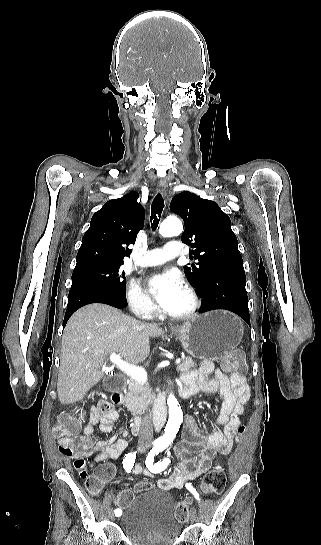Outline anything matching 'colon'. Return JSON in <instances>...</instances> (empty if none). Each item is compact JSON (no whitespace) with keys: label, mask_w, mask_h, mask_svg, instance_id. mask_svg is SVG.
Masks as SVG:
<instances>
[{"label":"colon","mask_w":321,"mask_h":545,"mask_svg":"<svg viewBox=\"0 0 321 545\" xmlns=\"http://www.w3.org/2000/svg\"><path fill=\"white\" fill-rule=\"evenodd\" d=\"M222 367L230 377H244L245 364L239 355H232L225 358L222 362ZM84 411L79 407L71 408L58 415L57 421L53 428L54 435L59 439V450L62 454L71 456L76 450L79 441V431L81 423L84 419ZM244 431V427L239 425L236 429V436L239 437ZM75 468L79 475L85 480V487L92 495H98L103 487V473H95L89 475L87 473L86 464L79 460L75 462ZM226 484V474L222 466H214L203 478L201 490L204 494L215 496L222 493ZM152 488L148 482H141L135 487L136 492H141ZM134 493L132 491H122L114 500L115 505L119 510L126 508L132 501ZM190 502L187 499L180 501L176 505L175 516L180 522L188 519L190 513Z\"/></svg>","instance_id":"5ec220e1"}]
</instances>
